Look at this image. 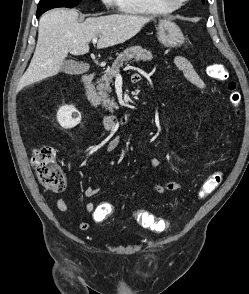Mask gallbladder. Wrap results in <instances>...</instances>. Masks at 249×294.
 I'll list each match as a JSON object with an SVG mask.
<instances>
[{
	"instance_id": "gallbladder-1",
	"label": "gallbladder",
	"mask_w": 249,
	"mask_h": 294,
	"mask_svg": "<svg viewBox=\"0 0 249 294\" xmlns=\"http://www.w3.org/2000/svg\"><path fill=\"white\" fill-rule=\"evenodd\" d=\"M83 70L82 65L74 60L65 61L62 66V71L70 75L81 74Z\"/></svg>"
}]
</instances>
